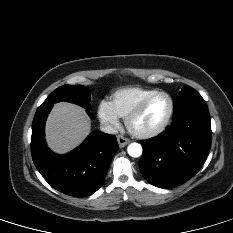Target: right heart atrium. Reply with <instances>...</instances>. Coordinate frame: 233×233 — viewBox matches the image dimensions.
<instances>
[{
	"instance_id": "1",
	"label": "right heart atrium",
	"mask_w": 233,
	"mask_h": 233,
	"mask_svg": "<svg viewBox=\"0 0 233 233\" xmlns=\"http://www.w3.org/2000/svg\"><path fill=\"white\" fill-rule=\"evenodd\" d=\"M98 117L101 122L110 130L115 131L120 126V117L113 110L111 104L107 101H101L98 106Z\"/></svg>"
}]
</instances>
